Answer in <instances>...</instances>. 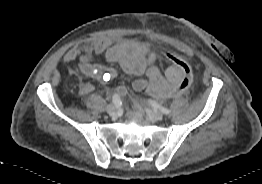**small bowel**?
Segmentation results:
<instances>
[{
    "instance_id": "1",
    "label": "small bowel",
    "mask_w": 262,
    "mask_h": 184,
    "mask_svg": "<svg viewBox=\"0 0 262 184\" xmlns=\"http://www.w3.org/2000/svg\"><path fill=\"white\" fill-rule=\"evenodd\" d=\"M92 54L104 56L108 62L118 64L127 74L144 75V78L133 81V88L136 91H147L157 98L173 96L170 89L176 88L182 78L181 67L175 62H171V65L162 74L157 66L159 54L150 50L146 44L132 39L101 38L81 47L70 49L64 55L63 61L65 63L76 62L78 70L86 77L96 78L102 83L113 80L117 75L116 70L91 63ZM79 89L81 95H87L93 91V86L83 81Z\"/></svg>"
}]
</instances>
